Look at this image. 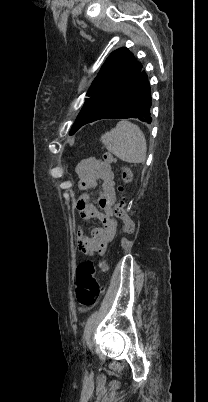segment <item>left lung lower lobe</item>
<instances>
[{"mask_svg": "<svg viewBox=\"0 0 208 402\" xmlns=\"http://www.w3.org/2000/svg\"><path fill=\"white\" fill-rule=\"evenodd\" d=\"M151 91L148 77L141 71L123 95L98 118H137L150 124Z\"/></svg>", "mask_w": 208, "mask_h": 402, "instance_id": "1", "label": "left lung lower lobe"}]
</instances>
